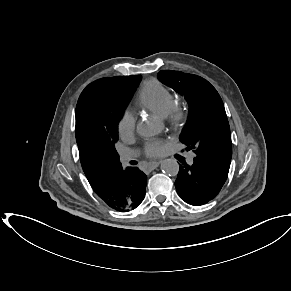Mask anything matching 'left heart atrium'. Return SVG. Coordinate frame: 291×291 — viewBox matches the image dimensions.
I'll use <instances>...</instances> for the list:
<instances>
[{"mask_svg": "<svg viewBox=\"0 0 291 291\" xmlns=\"http://www.w3.org/2000/svg\"><path fill=\"white\" fill-rule=\"evenodd\" d=\"M166 151V144L161 140H149L145 144V154L148 157H158Z\"/></svg>", "mask_w": 291, "mask_h": 291, "instance_id": "obj_1", "label": "left heart atrium"}]
</instances>
